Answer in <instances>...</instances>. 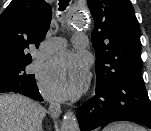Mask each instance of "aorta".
<instances>
[{
	"label": "aorta",
	"instance_id": "1",
	"mask_svg": "<svg viewBox=\"0 0 151 131\" xmlns=\"http://www.w3.org/2000/svg\"><path fill=\"white\" fill-rule=\"evenodd\" d=\"M81 15H77L73 20H72V25L76 27H83L85 22L82 20ZM61 130L62 131H79V125L77 122V118L73 112L68 110L62 120V125H61Z\"/></svg>",
	"mask_w": 151,
	"mask_h": 131
}]
</instances>
